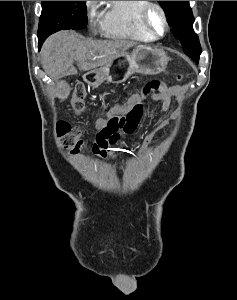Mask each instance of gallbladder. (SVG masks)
Instances as JSON below:
<instances>
[{
    "instance_id": "gallbladder-1",
    "label": "gallbladder",
    "mask_w": 237,
    "mask_h": 300,
    "mask_svg": "<svg viewBox=\"0 0 237 300\" xmlns=\"http://www.w3.org/2000/svg\"><path fill=\"white\" fill-rule=\"evenodd\" d=\"M69 87H70V84L68 82H63L61 84V88L57 87L55 89L58 99H67L68 94L71 92V89Z\"/></svg>"
}]
</instances>
